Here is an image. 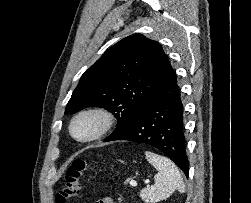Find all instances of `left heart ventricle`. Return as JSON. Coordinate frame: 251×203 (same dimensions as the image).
<instances>
[{
    "label": "left heart ventricle",
    "mask_w": 251,
    "mask_h": 203,
    "mask_svg": "<svg viewBox=\"0 0 251 203\" xmlns=\"http://www.w3.org/2000/svg\"><path fill=\"white\" fill-rule=\"evenodd\" d=\"M96 125L97 122L94 118L84 117L76 122L74 132L79 137H85L95 130Z\"/></svg>",
    "instance_id": "1"
}]
</instances>
